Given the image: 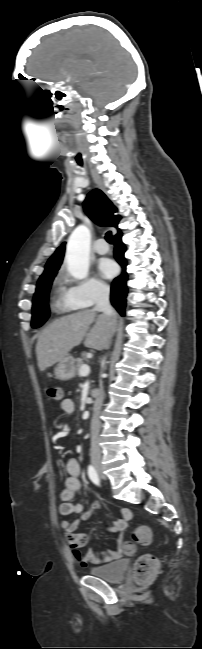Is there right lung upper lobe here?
Masks as SVG:
<instances>
[{"instance_id":"1","label":"right lung upper lobe","mask_w":202,"mask_h":649,"mask_svg":"<svg viewBox=\"0 0 202 649\" xmlns=\"http://www.w3.org/2000/svg\"><path fill=\"white\" fill-rule=\"evenodd\" d=\"M86 214L97 224L117 228L121 219L120 215H114L117 212L116 207L99 189L92 190L86 197L84 203ZM118 229V228H117ZM118 233H121L118 229ZM65 243L58 247L55 253L48 260L44 273L40 276H46L58 271L64 257Z\"/></svg>"}]
</instances>
